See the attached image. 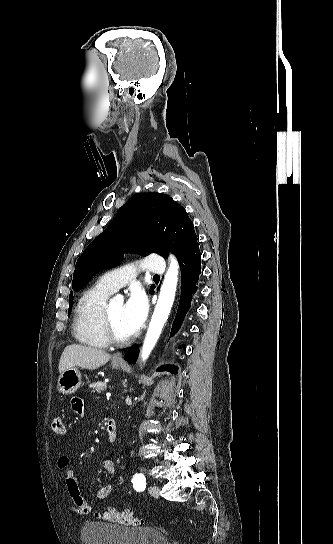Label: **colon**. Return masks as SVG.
Listing matches in <instances>:
<instances>
[{
  "mask_svg": "<svg viewBox=\"0 0 333 544\" xmlns=\"http://www.w3.org/2000/svg\"><path fill=\"white\" fill-rule=\"evenodd\" d=\"M51 429L57 435H65L67 432L64 420L61 417H54L52 419ZM98 517L105 521L117 522L128 526L142 523L132 512L119 511L112 506H109L104 512L98 514Z\"/></svg>",
  "mask_w": 333,
  "mask_h": 544,
  "instance_id": "colon-1",
  "label": "colon"
}]
</instances>
